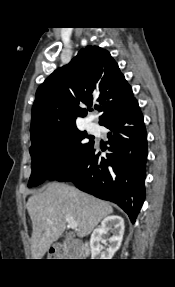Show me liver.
I'll return each mask as SVG.
<instances>
[{"label":"liver","mask_w":175,"mask_h":287,"mask_svg":"<svg viewBox=\"0 0 175 287\" xmlns=\"http://www.w3.org/2000/svg\"><path fill=\"white\" fill-rule=\"evenodd\" d=\"M26 208L32 221V259H42L61 236L66 227L65 216L77 222L76 233L82 238L113 213L109 203L59 182H52L43 192L33 194Z\"/></svg>","instance_id":"obj_1"}]
</instances>
